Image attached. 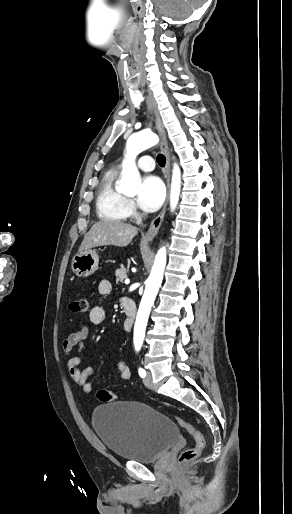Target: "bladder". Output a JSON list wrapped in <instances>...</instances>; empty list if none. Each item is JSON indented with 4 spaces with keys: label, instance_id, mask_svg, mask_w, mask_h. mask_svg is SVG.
I'll return each mask as SVG.
<instances>
[{
    "label": "bladder",
    "instance_id": "bladder-1",
    "mask_svg": "<svg viewBox=\"0 0 292 514\" xmlns=\"http://www.w3.org/2000/svg\"><path fill=\"white\" fill-rule=\"evenodd\" d=\"M92 424L105 447L126 461H155L179 437L173 420L139 402L100 405L92 413Z\"/></svg>",
    "mask_w": 292,
    "mask_h": 514
}]
</instances>
